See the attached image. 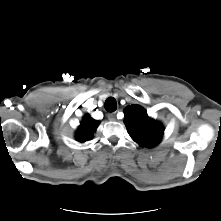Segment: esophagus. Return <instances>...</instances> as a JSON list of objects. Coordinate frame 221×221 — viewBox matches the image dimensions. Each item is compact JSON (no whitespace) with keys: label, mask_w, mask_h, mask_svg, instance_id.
<instances>
[{"label":"esophagus","mask_w":221,"mask_h":221,"mask_svg":"<svg viewBox=\"0 0 221 221\" xmlns=\"http://www.w3.org/2000/svg\"><path fill=\"white\" fill-rule=\"evenodd\" d=\"M107 116H108V119L110 121H115L116 120V114L115 113H109Z\"/></svg>","instance_id":"esophagus-1"}]
</instances>
